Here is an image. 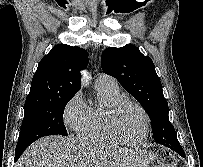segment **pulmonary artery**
I'll return each instance as SVG.
<instances>
[{
	"label": "pulmonary artery",
	"instance_id": "1",
	"mask_svg": "<svg viewBox=\"0 0 203 167\" xmlns=\"http://www.w3.org/2000/svg\"><path fill=\"white\" fill-rule=\"evenodd\" d=\"M95 84H96V87L104 86V85H113V84H116V80L110 75L101 73L96 78Z\"/></svg>",
	"mask_w": 203,
	"mask_h": 167
}]
</instances>
